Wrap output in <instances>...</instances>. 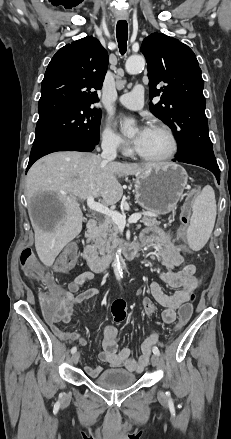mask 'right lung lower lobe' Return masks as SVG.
<instances>
[{
  "label": "right lung lower lobe",
  "mask_w": 231,
  "mask_h": 439,
  "mask_svg": "<svg viewBox=\"0 0 231 439\" xmlns=\"http://www.w3.org/2000/svg\"><path fill=\"white\" fill-rule=\"evenodd\" d=\"M96 143L88 141L79 140H59L49 143H44L40 145H35L32 147L29 163L27 170L32 166V164L39 158L56 151H82L90 152L93 151Z\"/></svg>",
  "instance_id": "98d812e1"
}]
</instances>
